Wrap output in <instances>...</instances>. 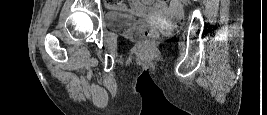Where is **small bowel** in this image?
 <instances>
[{
    "instance_id": "c3829d8e",
    "label": "small bowel",
    "mask_w": 267,
    "mask_h": 115,
    "mask_svg": "<svg viewBox=\"0 0 267 115\" xmlns=\"http://www.w3.org/2000/svg\"><path fill=\"white\" fill-rule=\"evenodd\" d=\"M111 6L123 13H130L141 16H149V15H158L164 13L168 10V6L165 2H152V1H132L129 5H126L119 1H114L111 3ZM169 9L173 11H178L180 9V4L178 1L171 2Z\"/></svg>"
}]
</instances>
